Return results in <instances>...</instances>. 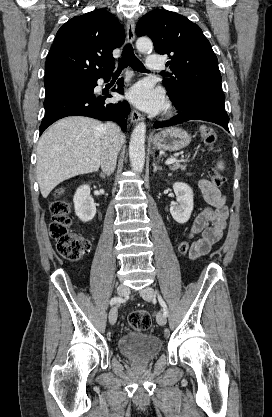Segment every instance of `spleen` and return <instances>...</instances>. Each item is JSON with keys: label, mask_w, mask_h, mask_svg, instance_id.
Segmentation results:
<instances>
[{"label": "spleen", "mask_w": 272, "mask_h": 417, "mask_svg": "<svg viewBox=\"0 0 272 417\" xmlns=\"http://www.w3.org/2000/svg\"><path fill=\"white\" fill-rule=\"evenodd\" d=\"M217 168L220 169V170H223L224 169V163L222 161L218 162L217 163Z\"/></svg>", "instance_id": "1"}]
</instances>
